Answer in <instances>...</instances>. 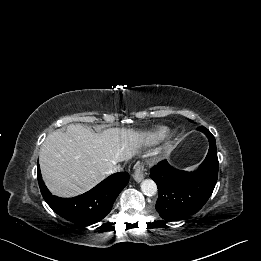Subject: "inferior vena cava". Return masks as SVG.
I'll use <instances>...</instances> for the list:
<instances>
[{"instance_id": "602c4592", "label": "inferior vena cava", "mask_w": 261, "mask_h": 261, "mask_svg": "<svg viewBox=\"0 0 261 261\" xmlns=\"http://www.w3.org/2000/svg\"><path fill=\"white\" fill-rule=\"evenodd\" d=\"M120 171L119 166H114L112 169L109 170L108 174H113Z\"/></svg>"}]
</instances>
